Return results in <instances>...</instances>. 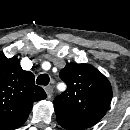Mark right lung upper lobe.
Instances as JSON below:
<instances>
[{
  "label": "right lung upper lobe",
  "mask_w": 130,
  "mask_h": 130,
  "mask_svg": "<svg viewBox=\"0 0 130 130\" xmlns=\"http://www.w3.org/2000/svg\"><path fill=\"white\" fill-rule=\"evenodd\" d=\"M45 91L34 84V75L20 66L17 57L0 55V130L22 126L35 101L45 99Z\"/></svg>",
  "instance_id": "1"
}]
</instances>
